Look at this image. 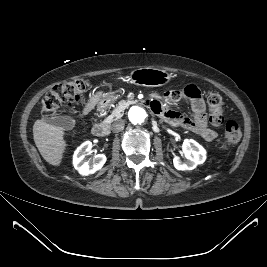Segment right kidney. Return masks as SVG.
Wrapping results in <instances>:
<instances>
[{
  "mask_svg": "<svg viewBox=\"0 0 267 267\" xmlns=\"http://www.w3.org/2000/svg\"><path fill=\"white\" fill-rule=\"evenodd\" d=\"M92 148L90 141L82 143L74 152L73 165L79 174L87 176L100 170L106 162L104 154L95 155L93 159L85 160L86 153H89Z\"/></svg>",
  "mask_w": 267,
  "mask_h": 267,
  "instance_id": "right-kidney-1",
  "label": "right kidney"
}]
</instances>
